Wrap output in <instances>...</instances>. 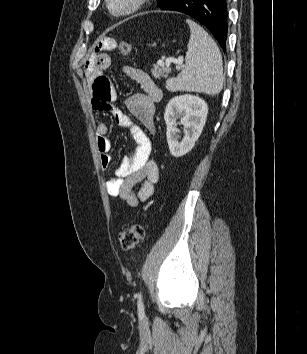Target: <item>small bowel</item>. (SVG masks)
<instances>
[{"label": "small bowel", "mask_w": 307, "mask_h": 354, "mask_svg": "<svg viewBox=\"0 0 307 354\" xmlns=\"http://www.w3.org/2000/svg\"><path fill=\"white\" fill-rule=\"evenodd\" d=\"M101 44L105 49L115 47V42L109 38L104 39ZM109 66V55L96 50L86 60L84 72L86 81L92 84L94 109L111 114L119 126L128 128L132 134L135 147L124 157L116 169L115 177L106 181V188L110 196L119 197L127 205L134 207L153 195L155 184L159 179L158 166L150 160L152 151L150 134L155 130V104L161 100L162 92L145 71L132 66L124 67L125 74L142 89V93L135 94L126 101L132 115L138 121L136 124L114 104L117 97L115 89L108 77L102 74ZM108 130L105 122H99L96 126L97 148L103 169H108L112 161Z\"/></svg>", "instance_id": "1"}]
</instances>
